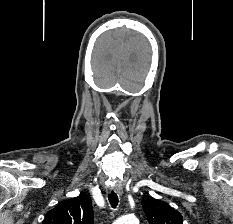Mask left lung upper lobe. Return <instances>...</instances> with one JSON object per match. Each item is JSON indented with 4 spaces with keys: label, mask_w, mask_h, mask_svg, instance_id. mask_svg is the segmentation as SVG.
Wrapping results in <instances>:
<instances>
[{
    "label": "left lung upper lobe",
    "mask_w": 233,
    "mask_h": 224,
    "mask_svg": "<svg viewBox=\"0 0 233 224\" xmlns=\"http://www.w3.org/2000/svg\"><path fill=\"white\" fill-rule=\"evenodd\" d=\"M142 205L150 224H183L182 215L161 200L146 196Z\"/></svg>",
    "instance_id": "5c2ea615"
}]
</instances>
